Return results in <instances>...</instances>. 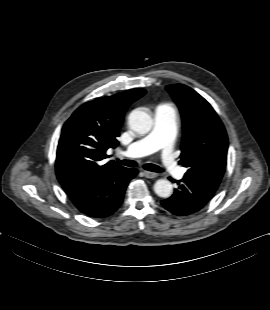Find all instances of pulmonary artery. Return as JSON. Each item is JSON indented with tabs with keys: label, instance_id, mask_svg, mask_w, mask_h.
I'll return each mask as SVG.
<instances>
[{
	"label": "pulmonary artery",
	"instance_id": "1",
	"mask_svg": "<svg viewBox=\"0 0 270 310\" xmlns=\"http://www.w3.org/2000/svg\"><path fill=\"white\" fill-rule=\"evenodd\" d=\"M177 132L175 109L169 104H160L154 113L153 128L146 136L130 144L125 150L128 157H141L162 150L165 169L181 178L185 170L177 165L173 154V143Z\"/></svg>",
	"mask_w": 270,
	"mask_h": 310
}]
</instances>
